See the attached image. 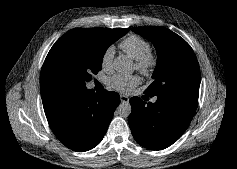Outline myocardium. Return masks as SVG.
Returning a JSON list of instances; mask_svg holds the SVG:
<instances>
[{
    "instance_id": "1",
    "label": "myocardium",
    "mask_w": 237,
    "mask_h": 169,
    "mask_svg": "<svg viewBox=\"0 0 237 169\" xmlns=\"http://www.w3.org/2000/svg\"><path fill=\"white\" fill-rule=\"evenodd\" d=\"M157 64V57L151 51L145 56L136 60L137 70L144 75L150 74Z\"/></svg>"
}]
</instances>
